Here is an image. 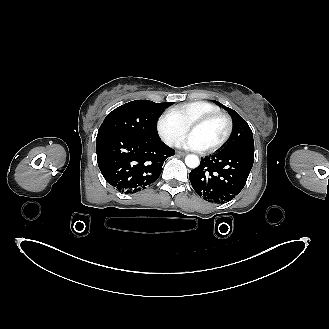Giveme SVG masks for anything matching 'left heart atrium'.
Here are the masks:
<instances>
[{
  "label": "left heart atrium",
  "instance_id": "1",
  "mask_svg": "<svg viewBox=\"0 0 329 329\" xmlns=\"http://www.w3.org/2000/svg\"><path fill=\"white\" fill-rule=\"evenodd\" d=\"M181 148L189 149V150H203V147L199 140L192 134L186 136L179 144Z\"/></svg>",
  "mask_w": 329,
  "mask_h": 329
}]
</instances>
